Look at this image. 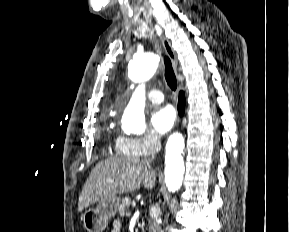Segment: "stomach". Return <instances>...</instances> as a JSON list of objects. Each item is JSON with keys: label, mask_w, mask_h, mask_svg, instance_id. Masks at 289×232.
<instances>
[{"label": "stomach", "mask_w": 289, "mask_h": 232, "mask_svg": "<svg viewBox=\"0 0 289 232\" xmlns=\"http://www.w3.org/2000/svg\"><path fill=\"white\" fill-rule=\"evenodd\" d=\"M119 204L120 199L113 196L99 201L96 207L85 210L81 220L87 232H103L109 220L116 215Z\"/></svg>", "instance_id": "0dacf381"}]
</instances>
